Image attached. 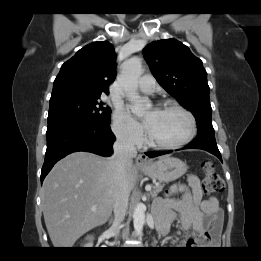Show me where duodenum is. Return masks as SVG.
<instances>
[{"label":"duodenum","mask_w":261,"mask_h":261,"mask_svg":"<svg viewBox=\"0 0 261 261\" xmlns=\"http://www.w3.org/2000/svg\"><path fill=\"white\" fill-rule=\"evenodd\" d=\"M112 231H115V229L112 228ZM107 236H112V234L111 233H107Z\"/></svg>","instance_id":"duodenum-1"}]
</instances>
